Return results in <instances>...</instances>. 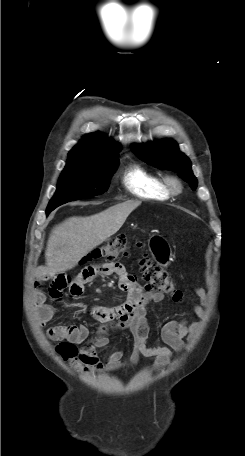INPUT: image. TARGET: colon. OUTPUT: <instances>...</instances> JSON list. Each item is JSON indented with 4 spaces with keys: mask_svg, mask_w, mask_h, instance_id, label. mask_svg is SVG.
Here are the masks:
<instances>
[{
    "mask_svg": "<svg viewBox=\"0 0 245 456\" xmlns=\"http://www.w3.org/2000/svg\"><path fill=\"white\" fill-rule=\"evenodd\" d=\"M137 246L141 247V243H137ZM128 255L129 239L125 235H119L109 240L104 246L94 249L83 261L86 262L99 259L112 261L127 257ZM138 267L146 282L147 290L167 294L174 302L182 301V292L176 288L172 279L149 255L145 254L139 258ZM58 352L72 363L77 361L78 350L72 343L64 342L60 344L58 346Z\"/></svg>",
    "mask_w": 245,
    "mask_h": 456,
    "instance_id": "obj_1",
    "label": "colon"
}]
</instances>
